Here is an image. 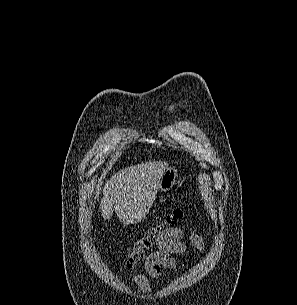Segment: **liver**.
Wrapping results in <instances>:
<instances>
[{
    "instance_id": "1",
    "label": "liver",
    "mask_w": 297,
    "mask_h": 305,
    "mask_svg": "<svg viewBox=\"0 0 297 305\" xmlns=\"http://www.w3.org/2000/svg\"><path fill=\"white\" fill-rule=\"evenodd\" d=\"M167 168L165 161H150L113 174L103 188L100 201L104 220H109L114 210L124 224H137L146 218Z\"/></svg>"
}]
</instances>
